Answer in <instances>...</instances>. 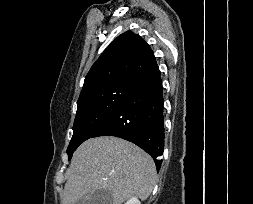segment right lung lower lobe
Returning a JSON list of instances; mask_svg holds the SVG:
<instances>
[{"instance_id":"1","label":"right lung lower lobe","mask_w":253,"mask_h":204,"mask_svg":"<svg viewBox=\"0 0 253 204\" xmlns=\"http://www.w3.org/2000/svg\"><path fill=\"white\" fill-rule=\"evenodd\" d=\"M116 136L133 142L152 156L157 170L164 149L163 88L156 64L135 82L132 90L93 137Z\"/></svg>"}]
</instances>
